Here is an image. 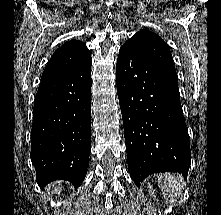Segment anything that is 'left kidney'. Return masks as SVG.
Instances as JSON below:
<instances>
[{
    "label": "left kidney",
    "mask_w": 221,
    "mask_h": 215,
    "mask_svg": "<svg viewBox=\"0 0 221 215\" xmlns=\"http://www.w3.org/2000/svg\"><path fill=\"white\" fill-rule=\"evenodd\" d=\"M148 188H149V193H150L151 195H153L154 190H153L152 186H151V185H148Z\"/></svg>",
    "instance_id": "1"
}]
</instances>
